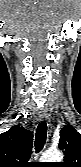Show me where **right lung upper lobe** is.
Returning a JSON list of instances; mask_svg holds the SVG:
<instances>
[{
    "mask_svg": "<svg viewBox=\"0 0 81 167\" xmlns=\"http://www.w3.org/2000/svg\"><path fill=\"white\" fill-rule=\"evenodd\" d=\"M33 134L19 126H13L0 134V167H30Z\"/></svg>",
    "mask_w": 81,
    "mask_h": 167,
    "instance_id": "cb5924a9",
    "label": "right lung upper lobe"
}]
</instances>
